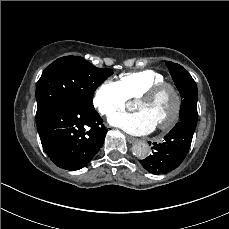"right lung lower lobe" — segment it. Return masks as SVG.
Here are the masks:
<instances>
[{"label":"right lung lower lobe","mask_w":229,"mask_h":229,"mask_svg":"<svg viewBox=\"0 0 229 229\" xmlns=\"http://www.w3.org/2000/svg\"><path fill=\"white\" fill-rule=\"evenodd\" d=\"M36 122L44 151L66 170L83 168L104 143L106 129L99 114L76 102L58 103Z\"/></svg>","instance_id":"98d812e1"}]
</instances>
